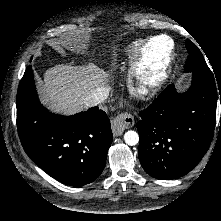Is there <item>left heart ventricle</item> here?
<instances>
[{
  "label": "left heart ventricle",
  "instance_id": "obj_1",
  "mask_svg": "<svg viewBox=\"0 0 221 221\" xmlns=\"http://www.w3.org/2000/svg\"><path fill=\"white\" fill-rule=\"evenodd\" d=\"M169 48V42L166 38H157L151 45L150 53L152 57V61L157 62L159 58H161Z\"/></svg>",
  "mask_w": 221,
  "mask_h": 221
}]
</instances>
